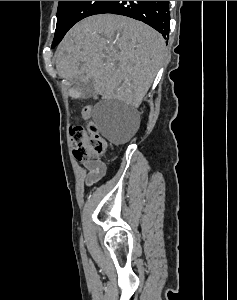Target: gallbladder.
<instances>
[{
	"label": "gallbladder",
	"instance_id": "obj_1",
	"mask_svg": "<svg viewBox=\"0 0 237 300\" xmlns=\"http://www.w3.org/2000/svg\"><path fill=\"white\" fill-rule=\"evenodd\" d=\"M79 93L81 94V98L83 97H87L88 96V91L85 87H80L78 90H73L72 91V96L75 98V97H78L79 96Z\"/></svg>",
	"mask_w": 237,
	"mask_h": 300
}]
</instances>
